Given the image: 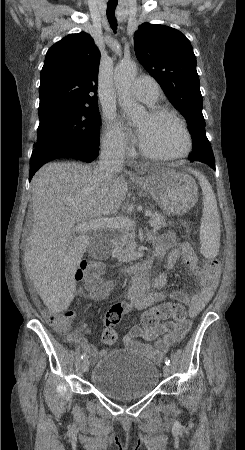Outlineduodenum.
<instances>
[{"label": "duodenum", "instance_id": "obj_1", "mask_svg": "<svg viewBox=\"0 0 245 450\" xmlns=\"http://www.w3.org/2000/svg\"><path fill=\"white\" fill-rule=\"evenodd\" d=\"M106 233L111 234L112 231H106ZM116 244V240L114 238L109 239V245L111 247H114ZM154 259H147L144 262L136 263L126 269V272L128 274L134 273V274H140L144 272H148L152 269L154 266Z\"/></svg>", "mask_w": 245, "mask_h": 450}]
</instances>
